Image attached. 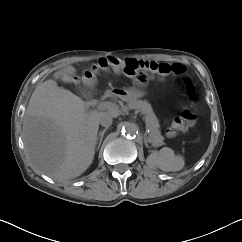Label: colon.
<instances>
[{
    "mask_svg": "<svg viewBox=\"0 0 242 242\" xmlns=\"http://www.w3.org/2000/svg\"><path fill=\"white\" fill-rule=\"evenodd\" d=\"M100 69H112L122 71L133 78L136 84H144L154 78H165L168 76L184 77L186 68L184 65L175 63H159L154 61H139L135 59H123L116 56H105L91 64L85 72V77L90 78L94 72ZM187 94L190 99L195 96V90L190 81L186 80ZM196 120L195 113L184 110L180 116L176 117L170 127L168 134L174 135L186 131Z\"/></svg>",
    "mask_w": 242,
    "mask_h": 242,
    "instance_id": "obj_1",
    "label": "colon"
}]
</instances>
